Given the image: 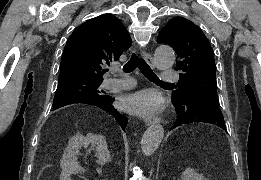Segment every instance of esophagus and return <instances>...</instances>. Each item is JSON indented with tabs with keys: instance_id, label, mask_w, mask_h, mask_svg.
Returning <instances> with one entry per match:
<instances>
[{
	"instance_id": "1",
	"label": "esophagus",
	"mask_w": 261,
	"mask_h": 180,
	"mask_svg": "<svg viewBox=\"0 0 261 180\" xmlns=\"http://www.w3.org/2000/svg\"><path fill=\"white\" fill-rule=\"evenodd\" d=\"M143 57H144V60H146V62L151 66L153 67L154 66V62H153V58L152 56L147 53L146 51L143 52ZM161 120L160 117H148L145 119V124L147 126L149 125H153V124H156V123H159Z\"/></svg>"
}]
</instances>
